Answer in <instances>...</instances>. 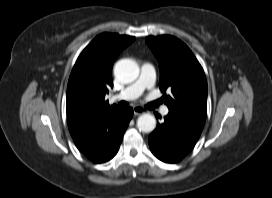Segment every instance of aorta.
Masks as SVG:
<instances>
[{
	"label": "aorta",
	"mask_w": 272,
	"mask_h": 198,
	"mask_svg": "<svg viewBox=\"0 0 272 198\" xmlns=\"http://www.w3.org/2000/svg\"><path fill=\"white\" fill-rule=\"evenodd\" d=\"M114 75L124 83H130L139 76V67L137 63L131 59H121L114 67ZM156 127V120L151 114H142L137 119V128L144 132L150 133Z\"/></svg>",
	"instance_id": "aorta-1"
}]
</instances>
